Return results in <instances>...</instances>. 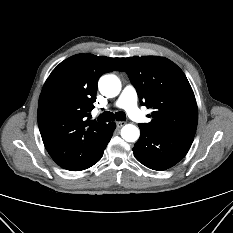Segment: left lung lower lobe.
Masks as SVG:
<instances>
[{
  "mask_svg": "<svg viewBox=\"0 0 233 233\" xmlns=\"http://www.w3.org/2000/svg\"><path fill=\"white\" fill-rule=\"evenodd\" d=\"M141 131L135 143V158L153 170H166L178 163L189 151L194 137L158 132L139 124Z\"/></svg>",
  "mask_w": 233,
  "mask_h": 233,
  "instance_id": "obj_1",
  "label": "left lung lower lobe"
}]
</instances>
